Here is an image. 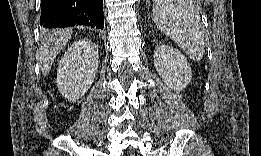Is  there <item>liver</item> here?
Returning <instances> with one entry per match:
<instances>
[{"instance_id":"1","label":"liver","mask_w":261,"mask_h":156,"mask_svg":"<svg viewBox=\"0 0 261 156\" xmlns=\"http://www.w3.org/2000/svg\"><path fill=\"white\" fill-rule=\"evenodd\" d=\"M71 35L72 31L69 29L57 30L43 39L39 47L38 62L44 76L48 75L58 53L65 47Z\"/></svg>"}]
</instances>
